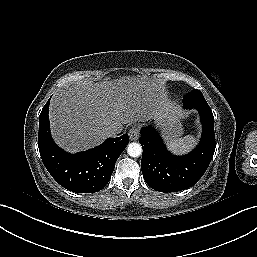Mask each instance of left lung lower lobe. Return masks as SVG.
Wrapping results in <instances>:
<instances>
[{
    "label": "left lung lower lobe",
    "instance_id": "1",
    "mask_svg": "<svg viewBox=\"0 0 257 257\" xmlns=\"http://www.w3.org/2000/svg\"><path fill=\"white\" fill-rule=\"evenodd\" d=\"M203 125L200 144L185 156H175L166 147L157 130L143 127L141 169L146 183L159 192H177L195 185L208 168L216 147L214 116L209 105L195 107Z\"/></svg>",
    "mask_w": 257,
    "mask_h": 257
}]
</instances>
